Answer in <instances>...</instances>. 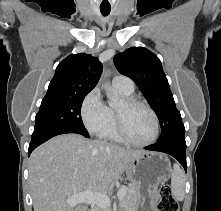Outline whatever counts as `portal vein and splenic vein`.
Instances as JSON below:
<instances>
[{
  "label": "portal vein and splenic vein",
  "mask_w": 221,
  "mask_h": 211,
  "mask_svg": "<svg viewBox=\"0 0 221 211\" xmlns=\"http://www.w3.org/2000/svg\"><path fill=\"white\" fill-rule=\"evenodd\" d=\"M126 194V188L122 187L117 192V197L121 200ZM70 206L80 203L96 204L98 207L107 208L111 204L110 198L101 193H94L91 190H86L80 194H76L66 200Z\"/></svg>",
  "instance_id": "obj_1"
}]
</instances>
